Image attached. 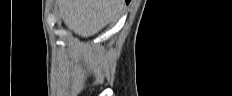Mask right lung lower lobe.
<instances>
[{
    "instance_id": "obj_1",
    "label": "right lung lower lobe",
    "mask_w": 232,
    "mask_h": 96,
    "mask_svg": "<svg viewBox=\"0 0 232 96\" xmlns=\"http://www.w3.org/2000/svg\"><path fill=\"white\" fill-rule=\"evenodd\" d=\"M130 2V0H126V3L128 4Z\"/></svg>"
}]
</instances>
